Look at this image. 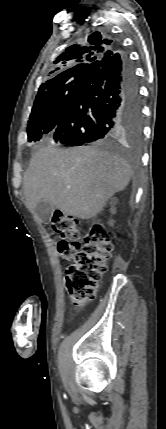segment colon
I'll use <instances>...</instances> for the list:
<instances>
[{
    "label": "colon",
    "instance_id": "5ec220e1",
    "mask_svg": "<svg viewBox=\"0 0 166 429\" xmlns=\"http://www.w3.org/2000/svg\"><path fill=\"white\" fill-rule=\"evenodd\" d=\"M52 228L59 237L55 243L57 254L73 261L65 280L70 301L75 307H83L95 298L99 281L107 270L112 252L110 236L102 224L94 223L81 246L76 220L59 212L52 218Z\"/></svg>",
    "mask_w": 166,
    "mask_h": 429
}]
</instances>
